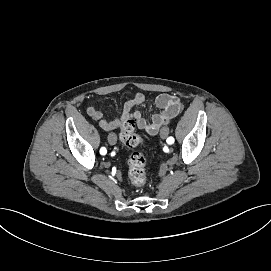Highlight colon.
Instances as JSON below:
<instances>
[{"instance_id": "1", "label": "colon", "mask_w": 271, "mask_h": 271, "mask_svg": "<svg viewBox=\"0 0 271 271\" xmlns=\"http://www.w3.org/2000/svg\"><path fill=\"white\" fill-rule=\"evenodd\" d=\"M120 140L128 148H135L142 143L141 136L135 130L134 121L128 120L123 124ZM145 167V155L142 152L134 151L128 160V177L137 189H142L146 184Z\"/></svg>"}]
</instances>
